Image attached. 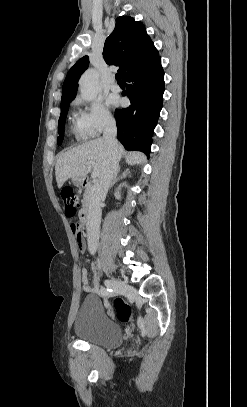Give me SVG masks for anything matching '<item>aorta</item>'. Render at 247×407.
<instances>
[{
    "instance_id": "obj_1",
    "label": "aorta",
    "mask_w": 247,
    "mask_h": 407,
    "mask_svg": "<svg viewBox=\"0 0 247 407\" xmlns=\"http://www.w3.org/2000/svg\"><path fill=\"white\" fill-rule=\"evenodd\" d=\"M79 88L83 99H95L101 90L98 72L95 69L87 70L80 78Z\"/></svg>"
}]
</instances>
